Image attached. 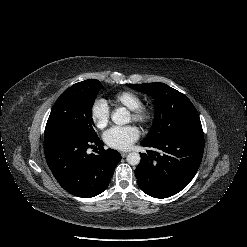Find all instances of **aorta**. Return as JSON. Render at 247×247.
Instances as JSON below:
<instances>
[{
  "mask_svg": "<svg viewBox=\"0 0 247 247\" xmlns=\"http://www.w3.org/2000/svg\"><path fill=\"white\" fill-rule=\"evenodd\" d=\"M112 121L117 125H125L130 122V115L126 108L121 107L116 109L111 115ZM140 155L136 152H131L127 155L128 164L134 166L138 165L140 162Z\"/></svg>",
  "mask_w": 247,
  "mask_h": 247,
  "instance_id": "obj_1",
  "label": "aorta"
}]
</instances>
